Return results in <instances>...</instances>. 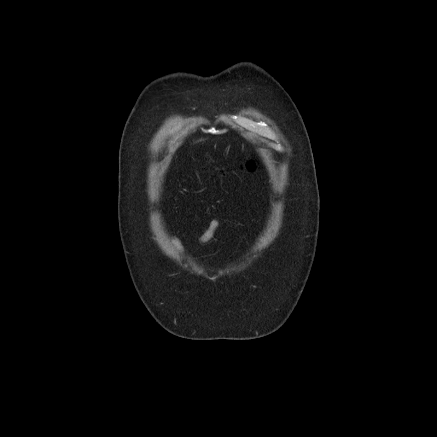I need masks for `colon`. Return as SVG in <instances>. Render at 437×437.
<instances>
[{
  "label": "colon",
  "instance_id": "5ec220e1",
  "mask_svg": "<svg viewBox=\"0 0 437 437\" xmlns=\"http://www.w3.org/2000/svg\"><path fill=\"white\" fill-rule=\"evenodd\" d=\"M248 166H249V168H252V167H253V165H252L251 163H250Z\"/></svg>",
  "mask_w": 437,
  "mask_h": 437
}]
</instances>
